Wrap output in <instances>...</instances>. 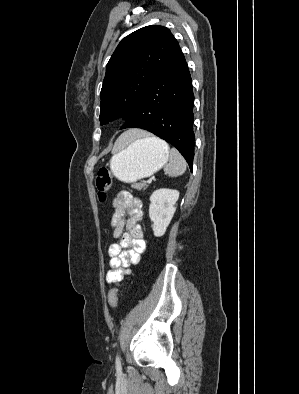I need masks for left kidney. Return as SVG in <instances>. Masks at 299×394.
I'll return each instance as SVG.
<instances>
[{"label":"left kidney","mask_w":299,"mask_h":394,"mask_svg":"<svg viewBox=\"0 0 299 394\" xmlns=\"http://www.w3.org/2000/svg\"><path fill=\"white\" fill-rule=\"evenodd\" d=\"M179 192L173 189H158L150 197L149 216L152 221L154 236L161 237L165 234L175 213V204Z\"/></svg>","instance_id":"1"}]
</instances>
